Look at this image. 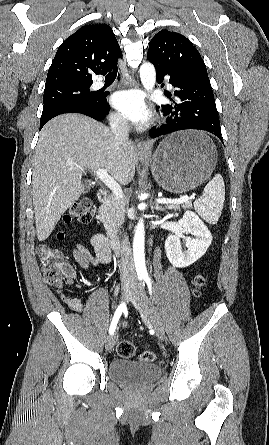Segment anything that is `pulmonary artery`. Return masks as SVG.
<instances>
[{
  "mask_svg": "<svg viewBox=\"0 0 269 445\" xmlns=\"http://www.w3.org/2000/svg\"><path fill=\"white\" fill-rule=\"evenodd\" d=\"M103 85H104V83L102 81H97L94 86H95V88H100ZM169 87H171V85H169Z\"/></svg>",
  "mask_w": 269,
  "mask_h": 445,
  "instance_id": "obj_1",
  "label": "pulmonary artery"
}]
</instances>
